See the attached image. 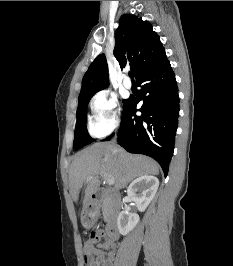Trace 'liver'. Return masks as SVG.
I'll return each instance as SVG.
<instances>
[{"mask_svg":"<svg viewBox=\"0 0 233 266\" xmlns=\"http://www.w3.org/2000/svg\"><path fill=\"white\" fill-rule=\"evenodd\" d=\"M158 174L159 165L149 157L130 154L113 143H95L75 155L69 173L70 193L77 203L80 190L86 185L87 203L99 189V176L113 178L115 189H122L137 177ZM93 221L83 225L89 228Z\"/></svg>","mask_w":233,"mask_h":266,"instance_id":"obj_1","label":"liver"}]
</instances>
